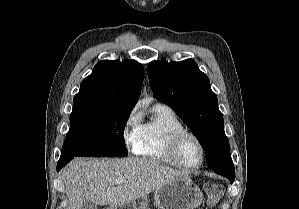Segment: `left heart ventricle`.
I'll return each mask as SVG.
<instances>
[{"instance_id":"1","label":"left heart ventricle","mask_w":299,"mask_h":209,"mask_svg":"<svg viewBox=\"0 0 299 209\" xmlns=\"http://www.w3.org/2000/svg\"><path fill=\"white\" fill-rule=\"evenodd\" d=\"M201 149L198 143L191 137L183 139L180 146V159L187 166H196L201 161Z\"/></svg>"}]
</instances>
